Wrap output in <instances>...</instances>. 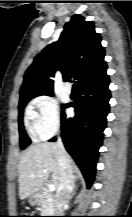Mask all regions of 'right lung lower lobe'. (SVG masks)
Segmentation results:
<instances>
[{"label":"right lung lower lobe","instance_id":"1","mask_svg":"<svg viewBox=\"0 0 132 217\" xmlns=\"http://www.w3.org/2000/svg\"><path fill=\"white\" fill-rule=\"evenodd\" d=\"M109 78L78 87L79 99L65 107L75 108V117L61 114V136L66 150L82 171L87 187L94 180L99 147L102 145L111 97ZM52 138L50 141H55Z\"/></svg>","mask_w":132,"mask_h":217}]
</instances>
